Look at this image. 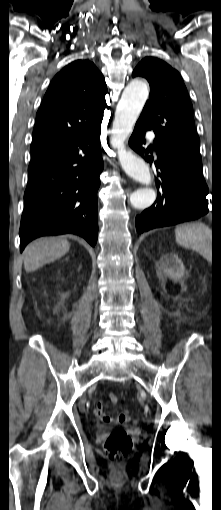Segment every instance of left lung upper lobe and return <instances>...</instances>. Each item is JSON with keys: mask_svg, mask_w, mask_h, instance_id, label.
Wrapping results in <instances>:
<instances>
[{"mask_svg": "<svg viewBox=\"0 0 221 510\" xmlns=\"http://www.w3.org/2000/svg\"><path fill=\"white\" fill-rule=\"evenodd\" d=\"M132 76L145 77L150 84V96L138 120L153 129L160 141L201 160L192 104L180 74L162 60L145 57Z\"/></svg>", "mask_w": 221, "mask_h": 510, "instance_id": "5c2ea615", "label": "left lung upper lobe"}]
</instances>
